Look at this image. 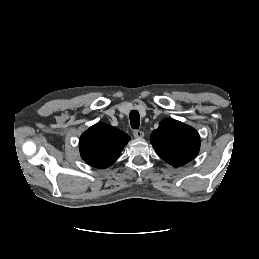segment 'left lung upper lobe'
<instances>
[{"label":"left lung upper lobe","mask_w":259,"mask_h":259,"mask_svg":"<svg viewBox=\"0 0 259 259\" xmlns=\"http://www.w3.org/2000/svg\"><path fill=\"white\" fill-rule=\"evenodd\" d=\"M150 141L159 157L174 167L193 160L200 149L198 132L174 119L162 120L152 132Z\"/></svg>","instance_id":"obj_1"}]
</instances>
